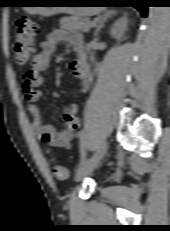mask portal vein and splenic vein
I'll return each instance as SVG.
<instances>
[{"mask_svg": "<svg viewBox=\"0 0 170 231\" xmlns=\"http://www.w3.org/2000/svg\"><path fill=\"white\" fill-rule=\"evenodd\" d=\"M95 25H96V23H95V22H92V23H91V26H95Z\"/></svg>", "mask_w": 170, "mask_h": 231, "instance_id": "obj_1", "label": "portal vein and splenic vein"}]
</instances>
